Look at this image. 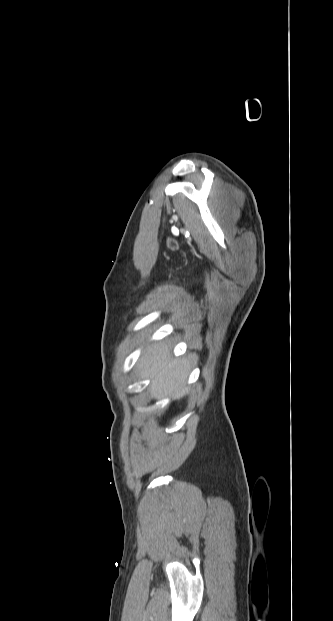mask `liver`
<instances>
[{
    "instance_id": "6515ba94",
    "label": "liver",
    "mask_w": 333,
    "mask_h": 621,
    "mask_svg": "<svg viewBox=\"0 0 333 621\" xmlns=\"http://www.w3.org/2000/svg\"><path fill=\"white\" fill-rule=\"evenodd\" d=\"M170 341L146 348L136 366L141 379H152L149 391L155 399L182 397L193 357L172 359Z\"/></svg>"
}]
</instances>
